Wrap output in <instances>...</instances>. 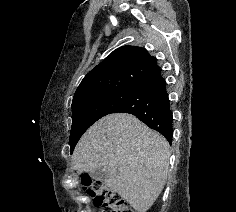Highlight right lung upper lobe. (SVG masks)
<instances>
[{
  "mask_svg": "<svg viewBox=\"0 0 236 212\" xmlns=\"http://www.w3.org/2000/svg\"><path fill=\"white\" fill-rule=\"evenodd\" d=\"M155 57L137 46H122L92 69L77 88L73 101L118 89L134 88L158 69Z\"/></svg>",
  "mask_w": 236,
  "mask_h": 212,
  "instance_id": "1",
  "label": "right lung upper lobe"
}]
</instances>
